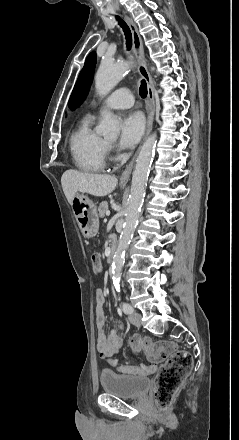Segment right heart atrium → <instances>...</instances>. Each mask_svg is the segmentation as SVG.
Returning <instances> with one entry per match:
<instances>
[{"mask_svg":"<svg viewBox=\"0 0 239 440\" xmlns=\"http://www.w3.org/2000/svg\"><path fill=\"white\" fill-rule=\"evenodd\" d=\"M110 150L109 146H106V152H108Z\"/></svg>","mask_w":239,"mask_h":440,"instance_id":"obj_1","label":"right heart atrium"}]
</instances>
